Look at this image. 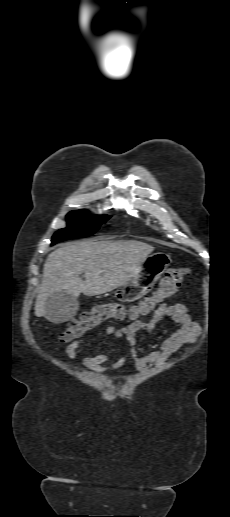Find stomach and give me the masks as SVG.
<instances>
[{"label":"stomach","mask_w":230,"mask_h":517,"mask_svg":"<svg viewBox=\"0 0 230 517\" xmlns=\"http://www.w3.org/2000/svg\"><path fill=\"white\" fill-rule=\"evenodd\" d=\"M170 263V256L157 252L141 264L138 272L127 283L116 291V298L121 302H132L146 295L166 270Z\"/></svg>","instance_id":"1"}]
</instances>
